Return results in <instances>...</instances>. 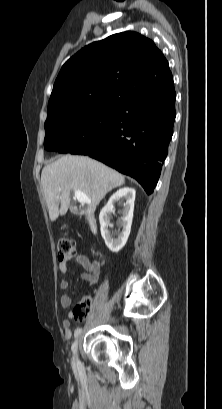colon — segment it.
Instances as JSON below:
<instances>
[{
	"mask_svg": "<svg viewBox=\"0 0 222 409\" xmlns=\"http://www.w3.org/2000/svg\"><path fill=\"white\" fill-rule=\"evenodd\" d=\"M58 258L63 264H68L77 258L76 245L73 240L61 237L57 241ZM99 257V256H98ZM92 301L89 296L82 297L75 305L72 315L76 320L87 317L91 310Z\"/></svg>",
	"mask_w": 222,
	"mask_h": 409,
	"instance_id": "1",
	"label": "colon"
}]
</instances>
